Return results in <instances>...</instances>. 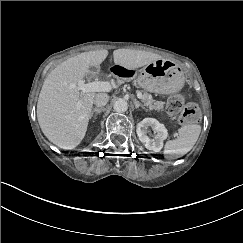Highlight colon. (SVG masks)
Here are the masks:
<instances>
[{"mask_svg": "<svg viewBox=\"0 0 243 243\" xmlns=\"http://www.w3.org/2000/svg\"><path fill=\"white\" fill-rule=\"evenodd\" d=\"M166 111L171 116H178L183 124L196 123L201 118V112L197 104H185L183 94L170 97L166 103Z\"/></svg>", "mask_w": 243, "mask_h": 243, "instance_id": "1", "label": "colon"}]
</instances>
